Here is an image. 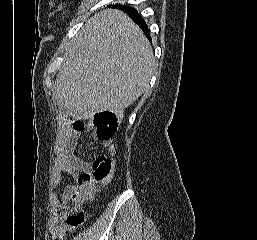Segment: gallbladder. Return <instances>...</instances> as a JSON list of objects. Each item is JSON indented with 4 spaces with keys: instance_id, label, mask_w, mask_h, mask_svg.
<instances>
[{
    "instance_id": "obj_1",
    "label": "gallbladder",
    "mask_w": 257,
    "mask_h": 240,
    "mask_svg": "<svg viewBox=\"0 0 257 240\" xmlns=\"http://www.w3.org/2000/svg\"><path fill=\"white\" fill-rule=\"evenodd\" d=\"M59 110L64 113L66 111V108L64 106H61L59 107Z\"/></svg>"
}]
</instances>
